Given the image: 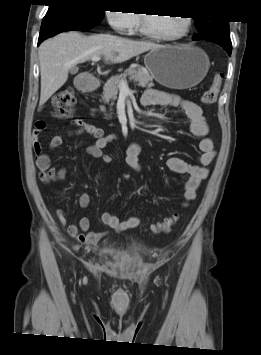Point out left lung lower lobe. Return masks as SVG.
<instances>
[{
    "instance_id": "left-lung-lower-lobe-1",
    "label": "left lung lower lobe",
    "mask_w": 261,
    "mask_h": 355,
    "mask_svg": "<svg viewBox=\"0 0 261 355\" xmlns=\"http://www.w3.org/2000/svg\"><path fill=\"white\" fill-rule=\"evenodd\" d=\"M218 44V43H217ZM220 46H222L229 55H231V51H232V46H227V45H224V44H219Z\"/></svg>"
}]
</instances>
